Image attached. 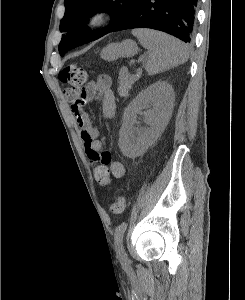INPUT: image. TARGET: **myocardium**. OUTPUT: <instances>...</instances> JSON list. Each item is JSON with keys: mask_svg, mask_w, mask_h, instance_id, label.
Instances as JSON below:
<instances>
[{"mask_svg": "<svg viewBox=\"0 0 245 300\" xmlns=\"http://www.w3.org/2000/svg\"><path fill=\"white\" fill-rule=\"evenodd\" d=\"M109 19V14L107 11L99 9L94 10L87 16V24L90 27H100L103 26Z\"/></svg>", "mask_w": 245, "mask_h": 300, "instance_id": "f54148a6", "label": "myocardium"}]
</instances>
